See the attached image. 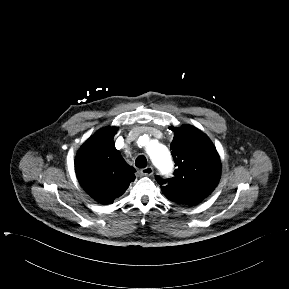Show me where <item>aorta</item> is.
Wrapping results in <instances>:
<instances>
[{
  "label": "aorta",
  "instance_id": "762f6f07",
  "mask_svg": "<svg viewBox=\"0 0 289 289\" xmlns=\"http://www.w3.org/2000/svg\"><path fill=\"white\" fill-rule=\"evenodd\" d=\"M147 154L152 163L160 170H166L172 165V160L168 149L161 144L147 145Z\"/></svg>",
  "mask_w": 289,
  "mask_h": 289
}]
</instances>
